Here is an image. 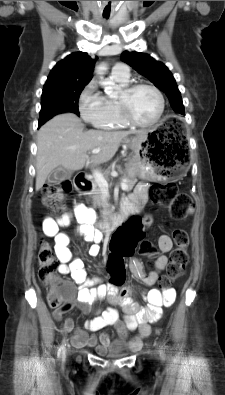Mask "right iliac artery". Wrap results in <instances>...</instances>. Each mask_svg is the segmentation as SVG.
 <instances>
[{
  "label": "right iliac artery",
  "mask_w": 225,
  "mask_h": 395,
  "mask_svg": "<svg viewBox=\"0 0 225 395\" xmlns=\"http://www.w3.org/2000/svg\"><path fill=\"white\" fill-rule=\"evenodd\" d=\"M60 351H62L63 353L65 352V340L63 341V343L60 347Z\"/></svg>",
  "instance_id": "obj_1"
}]
</instances>
